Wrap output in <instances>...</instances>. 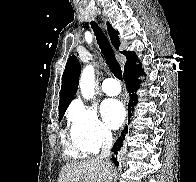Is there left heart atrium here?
Instances as JSON below:
<instances>
[{"mask_svg":"<svg viewBox=\"0 0 196 182\" xmlns=\"http://www.w3.org/2000/svg\"><path fill=\"white\" fill-rule=\"evenodd\" d=\"M101 113L106 124L117 129L125 119V109L123 104L117 99H107L101 105Z\"/></svg>","mask_w":196,"mask_h":182,"instance_id":"1","label":"left heart atrium"}]
</instances>
